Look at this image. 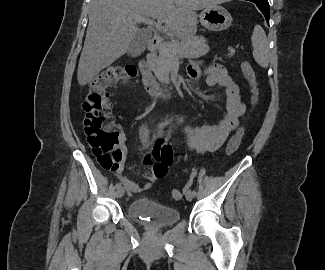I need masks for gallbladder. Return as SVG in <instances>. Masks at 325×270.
Instances as JSON below:
<instances>
[{"instance_id": "bac80fb5", "label": "gallbladder", "mask_w": 325, "mask_h": 270, "mask_svg": "<svg viewBox=\"0 0 325 270\" xmlns=\"http://www.w3.org/2000/svg\"><path fill=\"white\" fill-rule=\"evenodd\" d=\"M152 38V34L148 30H139L133 37L132 43L128 49V54L131 56H137L141 54L149 41Z\"/></svg>"}]
</instances>
